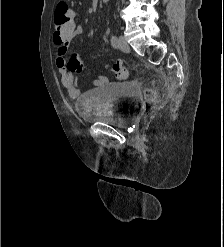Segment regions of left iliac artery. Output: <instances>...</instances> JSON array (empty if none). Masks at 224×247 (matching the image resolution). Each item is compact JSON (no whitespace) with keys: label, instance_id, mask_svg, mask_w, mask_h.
<instances>
[{"label":"left iliac artery","instance_id":"1","mask_svg":"<svg viewBox=\"0 0 224 247\" xmlns=\"http://www.w3.org/2000/svg\"><path fill=\"white\" fill-rule=\"evenodd\" d=\"M111 45L115 48L118 47V38L115 35L111 37Z\"/></svg>","mask_w":224,"mask_h":247}]
</instances>
